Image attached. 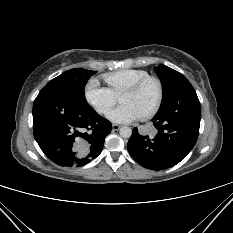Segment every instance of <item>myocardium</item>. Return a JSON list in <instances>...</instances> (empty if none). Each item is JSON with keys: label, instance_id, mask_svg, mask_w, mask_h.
I'll return each mask as SVG.
<instances>
[{"label": "myocardium", "instance_id": "obj_1", "mask_svg": "<svg viewBox=\"0 0 233 233\" xmlns=\"http://www.w3.org/2000/svg\"><path fill=\"white\" fill-rule=\"evenodd\" d=\"M154 81L157 86H158V97L157 100L154 104V106L143 116H141L142 120H148L152 118L160 109L163 98H164V86L160 78L153 76V75H148L146 77L141 78L137 82L133 83L132 85L128 86L126 89H124V92H138L140 91L148 82Z\"/></svg>", "mask_w": 233, "mask_h": 233}]
</instances>
